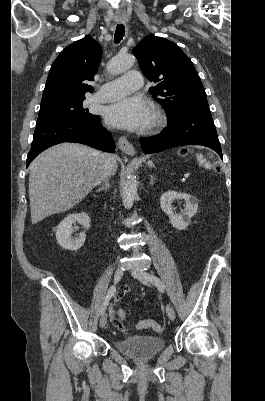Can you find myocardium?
Instances as JSON below:
<instances>
[{
    "label": "myocardium",
    "instance_id": "f54148a6",
    "mask_svg": "<svg viewBox=\"0 0 265 401\" xmlns=\"http://www.w3.org/2000/svg\"><path fill=\"white\" fill-rule=\"evenodd\" d=\"M164 121H165V114L163 110L158 106H154L152 109V116L148 124V129L150 131H154L157 128L161 127Z\"/></svg>",
    "mask_w": 265,
    "mask_h": 401
}]
</instances>
